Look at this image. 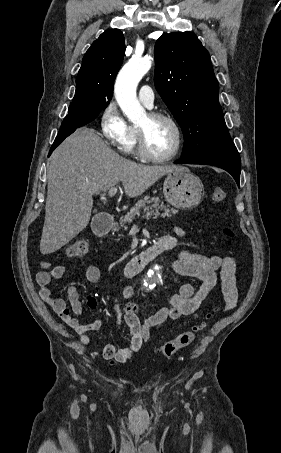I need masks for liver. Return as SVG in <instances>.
I'll return each instance as SVG.
<instances>
[{
    "label": "liver",
    "mask_w": 281,
    "mask_h": 453,
    "mask_svg": "<svg viewBox=\"0 0 281 453\" xmlns=\"http://www.w3.org/2000/svg\"><path fill=\"white\" fill-rule=\"evenodd\" d=\"M176 170H187V166L138 164L107 146L94 128H77L51 154L42 255L55 253L86 229L93 194L110 190L121 180L125 194L134 198L164 174Z\"/></svg>",
    "instance_id": "obj_1"
}]
</instances>
